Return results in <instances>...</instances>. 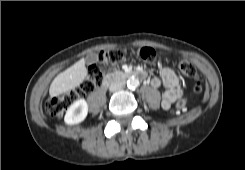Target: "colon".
<instances>
[{"instance_id":"colon-1","label":"colon","mask_w":245,"mask_h":170,"mask_svg":"<svg viewBox=\"0 0 245 170\" xmlns=\"http://www.w3.org/2000/svg\"><path fill=\"white\" fill-rule=\"evenodd\" d=\"M125 54L126 52L123 49L118 48L100 51L97 54V66L89 69L88 77L83 83L62 95L48 99L46 102L47 113L55 117L61 116L68 106L98 87L103 78L102 70L109 69L120 63L124 59ZM139 54L145 61L151 62L155 59V52L150 48H142ZM178 68L184 76L194 80L193 90L195 93H200L203 89V83L193 64L186 59H180ZM186 103L185 99H180L176 102V107L182 109L186 106Z\"/></svg>"}]
</instances>
